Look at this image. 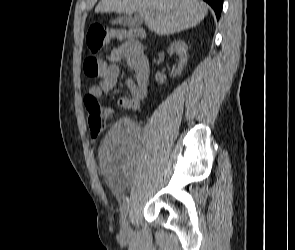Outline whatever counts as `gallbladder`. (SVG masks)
I'll list each match as a JSON object with an SVG mask.
<instances>
[{
    "label": "gallbladder",
    "instance_id": "gallbladder-1",
    "mask_svg": "<svg viewBox=\"0 0 295 250\" xmlns=\"http://www.w3.org/2000/svg\"><path fill=\"white\" fill-rule=\"evenodd\" d=\"M111 23L113 25L119 24L125 27L134 28L142 23V17L138 13L119 15L117 18L113 19Z\"/></svg>",
    "mask_w": 295,
    "mask_h": 250
}]
</instances>
